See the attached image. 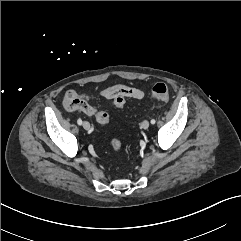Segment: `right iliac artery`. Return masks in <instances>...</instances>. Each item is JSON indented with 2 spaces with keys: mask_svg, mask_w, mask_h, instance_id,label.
Returning <instances> with one entry per match:
<instances>
[{
  "mask_svg": "<svg viewBox=\"0 0 241 241\" xmlns=\"http://www.w3.org/2000/svg\"><path fill=\"white\" fill-rule=\"evenodd\" d=\"M77 123H78V125H82V120H81V119H78V120H77Z\"/></svg>",
  "mask_w": 241,
  "mask_h": 241,
  "instance_id": "82829eb1",
  "label": "right iliac artery"
}]
</instances>
